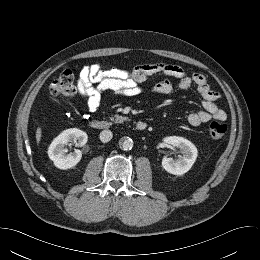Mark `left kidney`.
Returning <instances> with one entry per match:
<instances>
[{"label": "left kidney", "mask_w": 260, "mask_h": 260, "mask_svg": "<svg viewBox=\"0 0 260 260\" xmlns=\"http://www.w3.org/2000/svg\"><path fill=\"white\" fill-rule=\"evenodd\" d=\"M163 141L173 147L179 148L182 155H179L176 159L164 157L162 159V167L168 173L177 176L188 172L198 155L195 145L189 140L178 136L166 137Z\"/></svg>", "instance_id": "obj_1"}]
</instances>
